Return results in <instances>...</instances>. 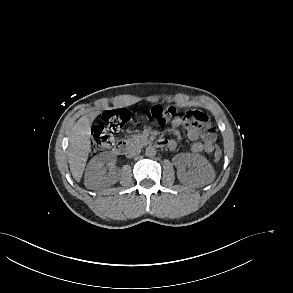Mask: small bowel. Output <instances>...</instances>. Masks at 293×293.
I'll list each match as a JSON object with an SVG mask.
<instances>
[{"instance_id": "small-bowel-1", "label": "small bowel", "mask_w": 293, "mask_h": 293, "mask_svg": "<svg viewBox=\"0 0 293 293\" xmlns=\"http://www.w3.org/2000/svg\"><path fill=\"white\" fill-rule=\"evenodd\" d=\"M198 113V117L192 122L187 123L185 116L176 117L172 121V127L178 128L182 123L186 125L187 136L190 140L196 141L191 147V151L195 154L211 153L214 149V143L216 140V133L209 125L208 116L202 112L195 110ZM200 140V141H198ZM169 150H175L177 143L174 140H164Z\"/></svg>"}]
</instances>
